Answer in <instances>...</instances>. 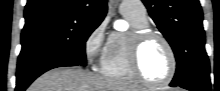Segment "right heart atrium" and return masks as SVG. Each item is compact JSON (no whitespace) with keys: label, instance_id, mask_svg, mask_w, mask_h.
I'll return each instance as SVG.
<instances>
[{"label":"right heart atrium","instance_id":"obj_1","mask_svg":"<svg viewBox=\"0 0 220 91\" xmlns=\"http://www.w3.org/2000/svg\"><path fill=\"white\" fill-rule=\"evenodd\" d=\"M106 25L98 24L86 37L84 53L87 61L93 65H101L108 47Z\"/></svg>","mask_w":220,"mask_h":91}]
</instances>
